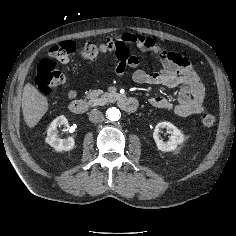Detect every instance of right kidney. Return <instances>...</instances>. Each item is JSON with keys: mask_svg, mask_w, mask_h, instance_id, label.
Returning a JSON list of instances; mask_svg holds the SVG:
<instances>
[{"mask_svg": "<svg viewBox=\"0 0 236 236\" xmlns=\"http://www.w3.org/2000/svg\"><path fill=\"white\" fill-rule=\"evenodd\" d=\"M61 125H68V120L64 115L58 116L51 122L45 141L56 151H70L75 147V140L72 137L61 139L58 136L57 127Z\"/></svg>", "mask_w": 236, "mask_h": 236, "instance_id": "ca27d5eb", "label": "right kidney"}]
</instances>
